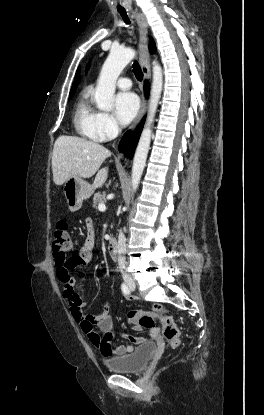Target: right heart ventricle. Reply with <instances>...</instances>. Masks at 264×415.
I'll list each match as a JSON object with an SVG mask.
<instances>
[{
    "label": "right heart ventricle",
    "instance_id": "right-heart-ventricle-1",
    "mask_svg": "<svg viewBox=\"0 0 264 415\" xmlns=\"http://www.w3.org/2000/svg\"><path fill=\"white\" fill-rule=\"evenodd\" d=\"M100 112L92 105L89 94L85 92L78 100L73 115V124L82 137L100 142L105 140L100 125Z\"/></svg>",
    "mask_w": 264,
    "mask_h": 415
}]
</instances>
